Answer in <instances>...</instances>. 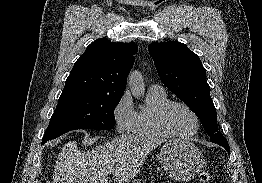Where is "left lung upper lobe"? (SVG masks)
I'll use <instances>...</instances> for the list:
<instances>
[{
    "instance_id": "obj_1",
    "label": "left lung upper lobe",
    "mask_w": 262,
    "mask_h": 183,
    "mask_svg": "<svg viewBox=\"0 0 262 183\" xmlns=\"http://www.w3.org/2000/svg\"><path fill=\"white\" fill-rule=\"evenodd\" d=\"M149 53L161 81L201 120L214 143L227 142L218 132L216 110L206 80V70L198 55L180 42L151 43Z\"/></svg>"
}]
</instances>
